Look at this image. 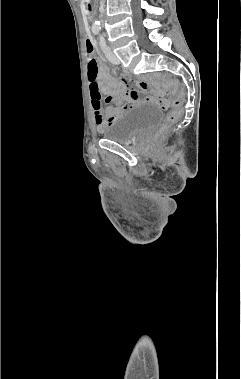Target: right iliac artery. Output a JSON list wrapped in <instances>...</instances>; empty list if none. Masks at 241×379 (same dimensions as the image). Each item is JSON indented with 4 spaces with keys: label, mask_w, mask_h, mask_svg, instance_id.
Instances as JSON below:
<instances>
[{
    "label": "right iliac artery",
    "mask_w": 241,
    "mask_h": 379,
    "mask_svg": "<svg viewBox=\"0 0 241 379\" xmlns=\"http://www.w3.org/2000/svg\"><path fill=\"white\" fill-rule=\"evenodd\" d=\"M99 28H93V33L95 34V35H97L98 33H99Z\"/></svg>",
    "instance_id": "1"
}]
</instances>
